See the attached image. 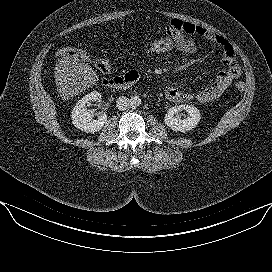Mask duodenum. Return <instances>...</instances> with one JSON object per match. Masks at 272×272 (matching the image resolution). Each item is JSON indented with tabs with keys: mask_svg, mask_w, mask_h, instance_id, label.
Wrapping results in <instances>:
<instances>
[{
	"mask_svg": "<svg viewBox=\"0 0 272 272\" xmlns=\"http://www.w3.org/2000/svg\"><path fill=\"white\" fill-rule=\"evenodd\" d=\"M136 80L137 76L131 74H123L120 76L109 78L105 80L103 83L105 86L109 88L124 89L134 84Z\"/></svg>",
	"mask_w": 272,
	"mask_h": 272,
	"instance_id": "1",
	"label": "duodenum"
}]
</instances>
